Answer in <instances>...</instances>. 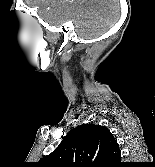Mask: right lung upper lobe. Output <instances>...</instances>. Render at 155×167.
I'll use <instances>...</instances> for the list:
<instances>
[{
  "label": "right lung upper lobe",
  "instance_id": "cb5924a9",
  "mask_svg": "<svg viewBox=\"0 0 155 167\" xmlns=\"http://www.w3.org/2000/svg\"><path fill=\"white\" fill-rule=\"evenodd\" d=\"M40 163L42 167H117L122 162L119 145L107 128L83 124L72 129Z\"/></svg>",
  "mask_w": 155,
  "mask_h": 167
}]
</instances>
